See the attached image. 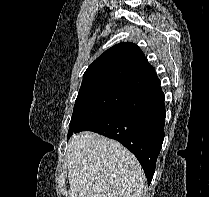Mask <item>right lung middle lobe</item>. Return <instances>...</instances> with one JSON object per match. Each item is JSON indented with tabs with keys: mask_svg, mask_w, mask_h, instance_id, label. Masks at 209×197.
<instances>
[{
	"mask_svg": "<svg viewBox=\"0 0 209 197\" xmlns=\"http://www.w3.org/2000/svg\"><path fill=\"white\" fill-rule=\"evenodd\" d=\"M137 93V90L115 82H82L75 101L68 136Z\"/></svg>",
	"mask_w": 209,
	"mask_h": 197,
	"instance_id": "right-lung-middle-lobe-1",
	"label": "right lung middle lobe"
}]
</instances>
